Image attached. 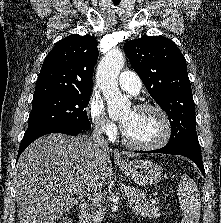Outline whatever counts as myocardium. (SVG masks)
<instances>
[{
	"label": "myocardium",
	"mask_w": 221,
	"mask_h": 223,
	"mask_svg": "<svg viewBox=\"0 0 221 223\" xmlns=\"http://www.w3.org/2000/svg\"><path fill=\"white\" fill-rule=\"evenodd\" d=\"M135 110H151L156 112L163 120L164 123V131L162 136L154 143L151 144H141L131 141L125 134L123 127L121 128V140L122 142L129 148L139 151H155L164 147L170 140L172 136V122L167 114V112L156 104L144 103L139 104L135 107Z\"/></svg>",
	"instance_id": "1"
}]
</instances>
